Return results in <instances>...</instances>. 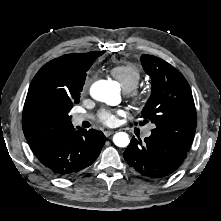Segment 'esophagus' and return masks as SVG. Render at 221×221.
<instances>
[{"label":"esophagus","mask_w":221,"mask_h":221,"mask_svg":"<svg viewBox=\"0 0 221 221\" xmlns=\"http://www.w3.org/2000/svg\"><path fill=\"white\" fill-rule=\"evenodd\" d=\"M113 133H114L113 130H106V131L104 132V134H105L106 137L111 136Z\"/></svg>","instance_id":"esophagus-1"}]
</instances>
